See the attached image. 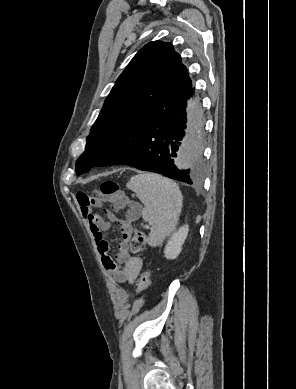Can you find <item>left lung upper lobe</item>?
Segmentation results:
<instances>
[{
	"instance_id": "5c2ea615",
	"label": "left lung upper lobe",
	"mask_w": 296,
	"mask_h": 389,
	"mask_svg": "<svg viewBox=\"0 0 296 389\" xmlns=\"http://www.w3.org/2000/svg\"><path fill=\"white\" fill-rule=\"evenodd\" d=\"M185 71L171 43L153 41L139 50L105 100L87 138L86 151L77 160L76 173L80 175L99 166L95 150L104 136L130 112L147 104L161 84Z\"/></svg>"
}]
</instances>
